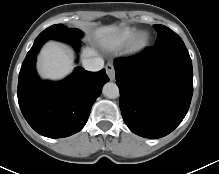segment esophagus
I'll list each match as a JSON object with an SVG mask.
<instances>
[{"label": "esophagus", "mask_w": 219, "mask_h": 174, "mask_svg": "<svg viewBox=\"0 0 219 174\" xmlns=\"http://www.w3.org/2000/svg\"><path fill=\"white\" fill-rule=\"evenodd\" d=\"M106 73L111 81L115 80V70L112 64H107L106 67Z\"/></svg>", "instance_id": "34e87169"}]
</instances>
